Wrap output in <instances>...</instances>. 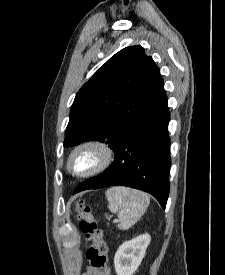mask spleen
Instances as JSON below:
<instances>
[{
	"label": "spleen",
	"mask_w": 225,
	"mask_h": 275,
	"mask_svg": "<svg viewBox=\"0 0 225 275\" xmlns=\"http://www.w3.org/2000/svg\"><path fill=\"white\" fill-rule=\"evenodd\" d=\"M105 195L109 210L117 213L119 219L117 227L120 230H128L136 224L150 203L146 193L123 186L112 187Z\"/></svg>",
	"instance_id": "obj_1"
}]
</instances>
